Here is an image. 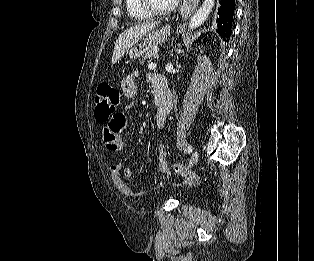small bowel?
I'll return each instance as SVG.
<instances>
[{"label": "small bowel", "mask_w": 314, "mask_h": 261, "mask_svg": "<svg viewBox=\"0 0 314 261\" xmlns=\"http://www.w3.org/2000/svg\"><path fill=\"white\" fill-rule=\"evenodd\" d=\"M137 72H132L125 76L121 81V90L127 99H133L137 92L136 79ZM157 75L150 76L151 82L155 86V78ZM170 111L155 115L156 127L161 130L164 128L167 115ZM129 122V117L125 113H112L108 120L104 121V129H102V140H105V151H121L124 148L123 136L125 123ZM158 155V174L163 176V179L156 182L157 186H162L168 175L169 168L167 162V151L163 145L157 148ZM109 172L116 188L126 196H137L143 191L133 190L126 182L133 176V170L130 167L123 168L121 163L112 164L109 166Z\"/></svg>", "instance_id": "obj_1"}]
</instances>
